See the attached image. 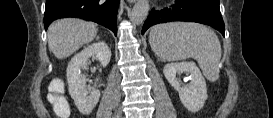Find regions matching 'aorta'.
I'll return each mask as SVG.
<instances>
[{
	"instance_id": "obj_1",
	"label": "aorta",
	"mask_w": 273,
	"mask_h": 118,
	"mask_svg": "<svg viewBox=\"0 0 273 118\" xmlns=\"http://www.w3.org/2000/svg\"><path fill=\"white\" fill-rule=\"evenodd\" d=\"M149 12L148 0H137L131 12V20L135 25H140L144 22Z\"/></svg>"
}]
</instances>
